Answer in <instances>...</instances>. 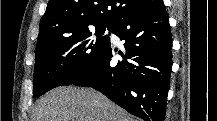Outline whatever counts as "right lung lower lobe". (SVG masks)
I'll use <instances>...</instances> for the list:
<instances>
[{
    "instance_id": "1",
    "label": "right lung lower lobe",
    "mask_w": 217,
    "mask_h": 121,
    "mask_svg": "<svg viewBox=\"0 0 217 121\" xmlns=\"http://www.w3.org/2000/svg\"><path fill=\"white\" fill-rule=\"evenodd\" d=\"M101 58L71 85L92 87L145 121H163L172 69V34L163 0H146L123 17ZM121 55L118 61L115 52Z\"/></svg>"
}]
</instances>
